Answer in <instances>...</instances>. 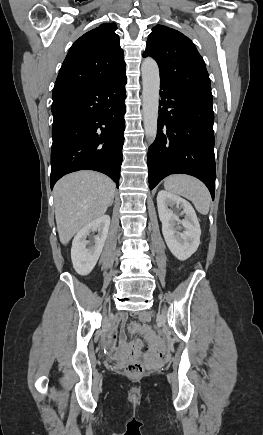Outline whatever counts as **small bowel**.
<instances>
[{
  "label": "small bowel",
  "instance_id": "small-bowel-1",
  "mask_svg": "<svg viewBox=\"0 0 263 435\" xmlns=\"http://www.w3.org/2000/svg\"><path fill=\"white\" fill-rule=\"evenodd\" d=\"M126 319V315L125 314H121L118 317V321L123 322ZM140 319L143 322H146L149 320V314L144 312L140 314ZM140 326L134 324L133 325V330H139ZM145 334H144V339L146 341H151L150 343V348L149 347H144L142 349V354L144 356H149L150 354H152L154 356V362L155 364H164L165 362V357L163 354V349H162V343L160 341L161 339V334L160 332H151L148 329H145ZM115 334L112 331H108L105 335V339H104V344L105 346L109 349V351L111 352L112 356L114 358H120L123 355H127V354H133L136 355L139 353L141 344L138 340L135 341H128L126 338V335L124 332L121 333L120 335V346L117 347L113 341L115 339Z\"/></svg>",
  "mask_w": 263,
  "mask_h": 435
}]
</instances>
